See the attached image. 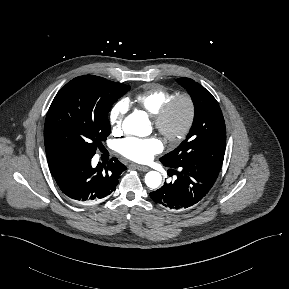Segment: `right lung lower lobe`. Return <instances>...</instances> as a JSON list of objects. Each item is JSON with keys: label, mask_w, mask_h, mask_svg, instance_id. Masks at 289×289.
Here are the masks:
<instances>
[{"label": "right lung lower lobe", "mask_w": 289, "mask_h": 289, "mask_svg": "<svg viewBox=\"0 0 289 289\" xmlns=\"http://www.w3.org/2000/svg\"><path fill=\"white\" fill-rule=\"evenodd\" d=\"M93 156L69 157L49 166L60 190L76 203L103 200L115 191L119 175L127 169L115 157L93 168Z\"/></svg>", "instance_id": "obj_1"}]
</instances>
